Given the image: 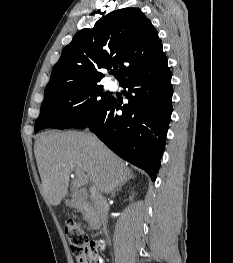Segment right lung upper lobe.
<instances>
[{
	"label": "right lung upper lobe",
	"mask_w": 233,
	"mask_h": 263,
	"mask_svg": "<svg viewBox=\"0 0 233 263\" xmlns=\"http://www.w3.org/2000/svg\"><path fill=\"white\" fill-rule=\"evenodd\" d=\"M124 63L126 65H124ZM120 64L116 78L154 74L167 65L158 32L139 8H123L80 30L54 65L44 98L95 85L103 78L98 70Z\"/></svg>",
	"instance_id": "obj_1"
}]
</instances>
